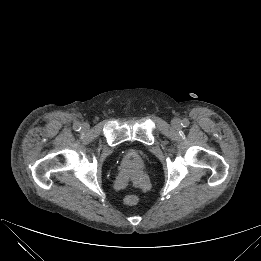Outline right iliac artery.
I'll use <instances>...</instances> for the list:
<instances>
[{"instance_id":"right-iliac-artery-1","label":"right iliac artery","mask_w":261,"mask_h":261,"mask_svg":"<svg viewBox=\"0 0 261 261\" xmlns=\"http://www.w3.org/2000/svg\"><path fill=\"white\" fill-rule=\"evenodd\" d=\"M73 128H74L75 131H80L81 130V125L79 123H77V124H75L73 126Z\"/></svg>"}]
</instances>
